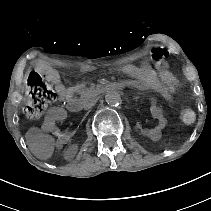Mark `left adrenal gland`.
<instances>
[{
  "label": "left adrenal gland",
  "instance_id": "left-adrenal-gland-1",
  "mask_svg": "<svg viewBox=\"0 0 211 211\" xmlns=\"http://www.w3.org/2000/svg\"><path fill=\"white\" fill-rule=\"evenodd\" d=\"M138 98H140V97H136L135 100L138 99ZM133 100H134V99H133Z\"/></svg>",
  "mask_w": 211,
  "mask_h": 211
}]
</instances>
